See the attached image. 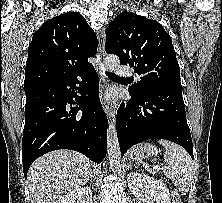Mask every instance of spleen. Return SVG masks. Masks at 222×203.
Segmentation results:
<instances>
[{
    "mask_svg": "<svg viewBox=\"0 0 222 203\" xmlns=\"http://www.w3.org/2000/svg\"><path fill=\"white\" fill-rule=\"evenodd\" d=\"M158 142L166 149L164 159L167 165L162 169L164 175L167 176L183 194H186L189 191L194 174L192 159L181 146L164 139Z\"/></svg>",
    "mask_w": 222,
    "mask_h": 203,
    "instance_id": "spleen-1",
    "label": "spleen"
}]
</instances>
